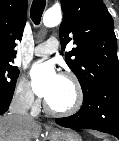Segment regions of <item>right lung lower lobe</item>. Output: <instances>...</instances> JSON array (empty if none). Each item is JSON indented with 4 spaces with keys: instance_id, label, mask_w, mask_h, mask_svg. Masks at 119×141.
<instances>
[{
    "instance_id": "obj_1",
    "label": "right lung lower lobe",
    "mask_w": 119,
    "mask_h": 141,
    "mask_svg": "<svg viewBox=\"0 0 119 141\" xmlns=\"http://www.w3.org/2000/svg\"><path fill=\"white\" fill-rule=\"evenodd\" d=\"M12 98L13 95L10 97L0 95V115L4 114L8 110Z\"/></svg>"
}]
</instances>
